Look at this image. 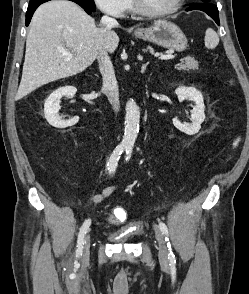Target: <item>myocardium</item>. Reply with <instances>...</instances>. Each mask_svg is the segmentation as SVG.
<instances>
[{"label":"myocardium","mask_w":249,"mask_h":294,"mask_svg":"<svg viewBox=\"0 0 249 294\" xmlns=\"http://www.w3.org/2000/svg\"><path fill=\"white\" fill-rule=\"evenodd\" d=\"M132 2H133V6L135 10L139 14L147 16V17H151V18H157V17H163V16L170 15L172 13H175L176 11L180 9V7L183 5L185 0H177L172 7L165 10H161V11H155V10H151L147 8L144 5L142 0H132Z\"/></svg>","instance_id":"f54148a6"}]
</instances>
